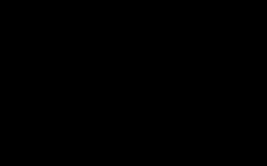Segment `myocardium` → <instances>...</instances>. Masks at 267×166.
<instances>
[{
  "mask_svg": "<svg viewBox=\"0 0 267 166\" xmlns=\"http://www.w3.org/2000/svg\"><path fill=\"white\" fill-rule=\"evenodd\" d=\"M156 32H162L164 33L165 35H167V37L169 38L170 40V51H169V55H168V58H167V61L166 63L164 64V66L157 72L158 74L159 73H162L163 71H165V69L167 67H169L172 59H173V55H174V38H173V35L165 28H156L154 30H151L150 32L144 34L141 38H139L134 44L133 46L131 47V50H130V55L133 54V52L141 45V43L150 35L156 33Z\"/></svg>",
  "mask_w": 267,
  "mask_h": 166,
  "instance_id": "obj_1",
  "label": "myocardium"
}]
</instances>
